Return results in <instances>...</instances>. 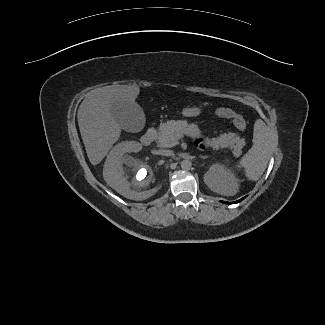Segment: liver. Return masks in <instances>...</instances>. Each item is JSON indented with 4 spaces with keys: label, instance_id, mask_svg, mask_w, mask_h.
I'll return each instance as SVG.
<instances>
[{
    "label": "liver",
    "instance_id": "obj_1",
    "mask_svg": "<svg viewBox=\"0 0 325 325\" xmlns=\"http://www.w3.org/2000/svg\"><path fill=\"white\" fill-rule=\"evenodd\" d=\"M139 93L137 85L105 86L89 92L80 104L78 125L92 165L104 159L121 135V127L110 110L111 104L120 100L135 103Z\"/></svg>",
    "mask_w": 325,
    "mask_h": 325
}]
</instances>
